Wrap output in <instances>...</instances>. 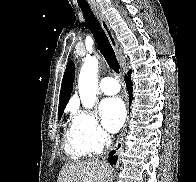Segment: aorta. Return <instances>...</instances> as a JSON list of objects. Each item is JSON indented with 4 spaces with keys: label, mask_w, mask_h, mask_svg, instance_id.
<instances>
[{
    "label": "aorta",
    "mask_w": 196,
    "mask_h": 182,
    "mask_svg": "<svg viewBox=\"0 0 196 182\" xmlns=\"http://www.w3.org/2000/svg\"><path fill=\"white\" fill-rule=\"evenodd\" d=\"M98 59L94 56H87L80 70L78 89L80 100L86 109H92L98 93Z\"/></svg>",
    "instance_id": "obj_1"
}]
</instances>
